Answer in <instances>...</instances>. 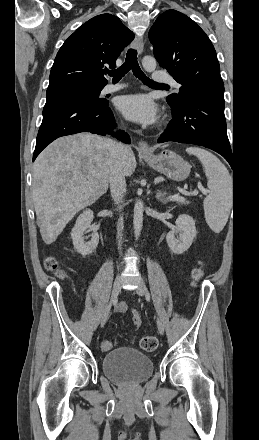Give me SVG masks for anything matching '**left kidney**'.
I'll return each mask as SVG.
<instances>
[{"mask_svg":"<svg viewBox=\"0 0 259 440\" xmlns=\"http://www.w3.org/2000/svg\"><path fill=\"white\" fill-rule=\"evenodd\" d=\"M176 229L170 231L166 236V241L174 254H183L192 245L193 239L196 237V227L194 219L189 215H180L176 219ZM179 234L176 239L175 235Z\"/></svg>","mask_w":259,"mask_h":440,"instance_id":"left-kidney-1","label":"left kidney"}]
</instances>
